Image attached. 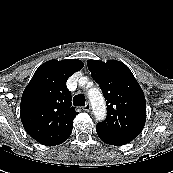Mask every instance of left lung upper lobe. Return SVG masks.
Returning <instances> with one entry per match:
<instances>
[{"mask_svg":"<svg viewBox=\"0 0 173 173\" xmlns=\"http://www.w3.org/2000/svg\"><path fill=\"white\" fill-rule=\"evenodd\" d=\"M92 78L100 85L107 104L106 120L97 127L122 139L132 141L146 121L144 93L130 69L122 62L88 60Z\"/></svg>","mask_w":173,"mask_h":173,"instance_id":"5c2ea615","label":"left lung upper lobe"}]
</instances>
